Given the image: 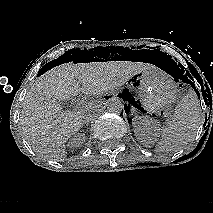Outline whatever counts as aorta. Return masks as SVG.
Instances as JSON below:
<instances>
[{
    "instance_id": "762f6f07",
    "label": "aorta",
    "mask_w": 213,
    "mask_h": 213,
    "mask_svg": "<svg viewBox=\"0 0 213 213\" xmlns=\"http://www.w3.org/2000/svg\"><path fill=\"white\" fill-rule=\"evenodd\" d=\"M106 107L109 112L120 114L124 108V104L121 98L111 97L107 100Z\"/></svg>"
}]
</instances>
